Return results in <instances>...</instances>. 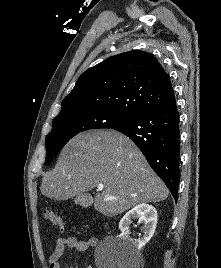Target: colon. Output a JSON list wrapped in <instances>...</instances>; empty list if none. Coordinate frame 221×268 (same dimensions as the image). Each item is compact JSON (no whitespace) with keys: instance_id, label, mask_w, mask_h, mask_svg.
<instances>
[{"instance_id":"1","label":"colon","mask_w":221,"mask_h":268,"mask_svg":"<svg viewBox=\"0 0 221 268\" xmlns=\"http://www.w3.org/2000/svg\"><path fill=\"white\" fill-rule=\"evenodd\" d=\"M44 216L53 226L58 227L61 230L64 229L65 224L63 220L54 211L47 209L44 211Z\"/></svg>"}]
</instances>
